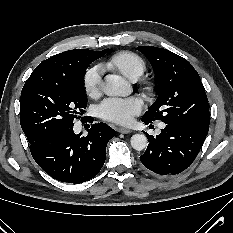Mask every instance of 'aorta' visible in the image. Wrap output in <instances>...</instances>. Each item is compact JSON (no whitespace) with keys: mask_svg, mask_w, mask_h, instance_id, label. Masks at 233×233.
<instances>
[{"mask_svg":"<svg viewBox=\"0 0 233 233\" xmlns=\"http://www.w3.org/2000/svg\"><path fill=\"white\" fill-rule=\"evenodd\" d=\"M103 92L108 96H126L131 93L128 82L118 75H108L102 84ZM131 146L137 151L147 147L148 141L144 134H134L131 137Z\"/></svg>","mask_w":233,"mask_h":233,"instance_id":"1","label":"aorta"}]
</instances>
